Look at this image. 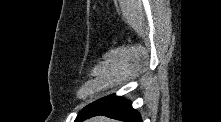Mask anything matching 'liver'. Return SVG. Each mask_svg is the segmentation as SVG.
<instances>
[{"label":"liver","instance_id":"1","mask_svg":"<svg viewBox=\"0 0 221 122\" xmlns=\"http://www.w3.org/2000/svg\"><path fill=\"white\" fill-rule=\"evenodd\" d=\"M88 122H113L110 118H106L104 116H98L91 118Z\"/></svg>","mask_w":221,"mask_h":122}]
</instances>
